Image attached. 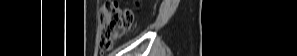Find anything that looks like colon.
Here are the masks:
<instances>
[{"mask_svg":"<svg viewBox=\"0 0 297 56\" xmlns=\"http://www.w3.org/2000/svg\"><path fill=\"white\" fill-rule=\"evenodd\" d=\"M133 20L131 9L121 8L117 1L104 2L100 10V50L109 51L114 42L131 27Z\"/></svg>","mask_w":297,"mask_h":56,"instance_id":"colon-1","label":"colon"}]
</instances>
